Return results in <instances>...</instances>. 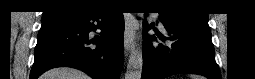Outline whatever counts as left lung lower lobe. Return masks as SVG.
Listing matches in <instances>:
<instances>
[{
  "mask_svg": "<svg viewBox=\"0 0 255 79\" xmlns=\"http://www.w3.org/2000/svg\"><path fill=\"white\" fill-rule=\"evenodd\" d=\"M160 20L169 33L171 43L154 44L147 36L148 23L143 21V70L141 79H164L174 74L193 73L209 79H220L214 46L207 22L174 19L163 11ZM153 26V24H151ZM164 40L162 35H157Z\"/></svg>",
  "mask_w": 255,
  "mask_h": 79,
  "instance_id": "0a47b994",
  "label": "left lung lower lobe"
}]
</instances>
